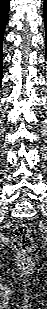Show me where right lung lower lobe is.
<instances>
[{"mask_svg": "<svg viewBox=\"0 0 47 309\" xmlns=\"http://www.w3.org/2000/svg\"><path fill=\"white\" fill-rule=\"evenodd\" d=\"M9 0H0V81L2 79V43L4 38V29L8 21ZM1 84V82H0Z\"/></svg>", "mask_w": 47, "mask_h": 309, "instance_id": "obj_1", "label": "right lung lower lobe"}]
</instances>
